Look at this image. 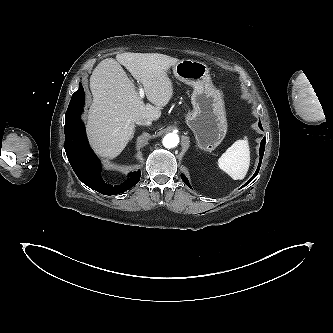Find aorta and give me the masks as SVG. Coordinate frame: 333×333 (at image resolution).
I'll use <instances>...</instances> for the list:
<instances>
[{
    "label": "aorta",
    "mask_w": 333,
    "mask_h": 333,
    "mask_svg": "<svg viewBox=\"0 0 333 333\" xmlns=\"http://www.w3.org/2000/svg\"><path fill=\"white\" fill-rule=\"evenodd\" d=\"M179 143V136L175 133H169L163 138V145L166 148H174Z\"/></svg>",
    "instance_id": "762f6f07"
}]
</instances>
